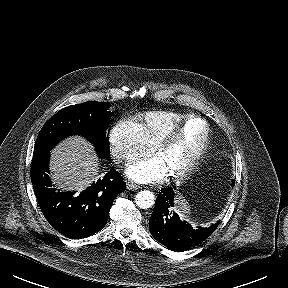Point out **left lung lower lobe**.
Returning a JSON list of instances; mask_svg holds the SVG:
<instances>
[{"label": "left lung lower lobe", "mask_w": 288, "mask_h": 288, "mask_svg": "<svg viewBox=\"0 0 288 288\" xmlns=\"http://www.w3.org/2000/svg\"><path fill=\"white\" fill-rule=\"evenodd\" d=\"M174 188H162L159 192L153 213L149 220L151 235L171 250H185L194 247L207 239L217 228L218 223L209 228L193 229L182 221L174 207Z\"/></svg>", "instance_id": "1"}]
</instances>
